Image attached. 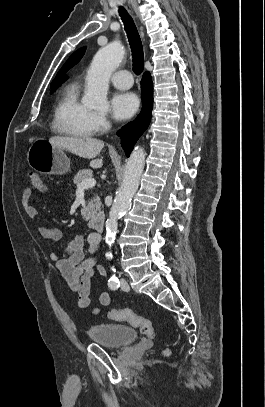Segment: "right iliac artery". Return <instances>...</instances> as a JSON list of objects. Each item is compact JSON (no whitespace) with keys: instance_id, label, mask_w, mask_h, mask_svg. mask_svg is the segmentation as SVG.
I'll use <instances>...</instances> for the list:
<instances>
[{"instance_id":"1","label":"right iliac artery","mask_w":265,"mask_h":407,"mask_svg":"<svg viewBox=\"0 0 265 407\" xmlns=\"http://www.w3.org/2000/svg\"><path fill=\"white\" fill-rule=\"evenodd\" d=\"M108 286L111 290H117L120 287V282L118 278L112 277L108 280Z\"/></svg>"}]
</instances>
